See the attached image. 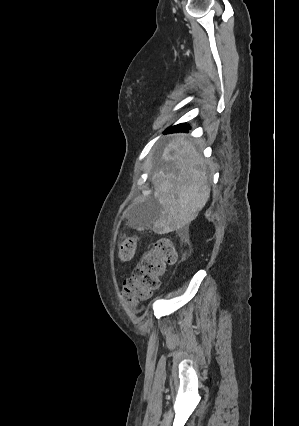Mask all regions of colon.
Instances as JSON below:
<instances>
[{"label": "colon", "instance_id": "5ec220e1", "mask_svg": "<svg viewBox=\"0 0 299 426\" xmlns=\"http://www.w3.org/2000/svg\"><path fill=\"white\" fill-rule=\"evenodd\" d=\"M138 240L129 236L118 244L117 255L121 263L132 261L136 254ZM176 260L174 243L170 238L158 239L141 256L132 275L124 281L122 299L131 306L151 297L159 287L160 277L167 265Z\"/></svg>", "mask_w": 299, "mask_h": 426}]
</instances>
